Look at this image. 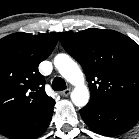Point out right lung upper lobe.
Here are the masks:
<instances>
[{
    "label": "right lung upper lobe",
    "instance_id": "obj_1",
    "mask_svg": "<svg viewBox=\"0 0 139 139\" xmlns=\"http://www.w3.org/2000/svg\"><path fill=\"white\" fill-rule=\"evenodd\" d=\"M58 35L18 32L0 39V134L24 124L54 99L45 93L38 65L52 53Z\"/></svg>",
    "mask_w": 139,
    "mask_h": 139
}]
</instances>
